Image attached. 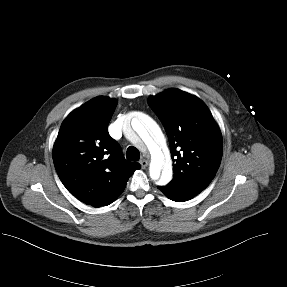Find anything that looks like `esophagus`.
<instances>
[{"mask_svg": "<svg viewBox=\"0 0 287 287\" xmlns=\"http://www.w3.org/2000/svg\"><path fill=\"white\" fill-rule=\"evenodd\" d=\"M140 164H141L142 168H146L149 164V161L147 159L143 158L140 160Z\"/></svg>", "mask_w": 287, "mask_h": 287, "instance_id": "34e87169", "label": "esophagus"}]
</instances>
